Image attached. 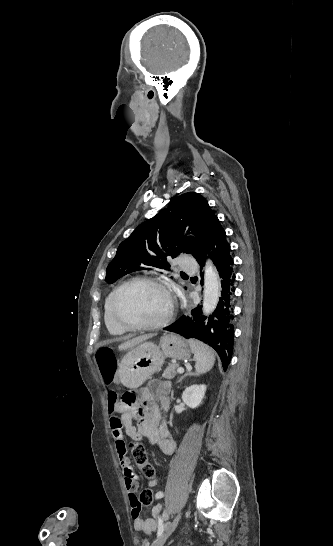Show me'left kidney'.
<instances>
[{
	"label": "left kidney",
	"mask_w": 333,
	"mask_h": 546,
	"mask_svg": "<svg viewBox=\"0 0 333 546\" xmlns=\"http://www.w3.org/2000/svg\"><path fill=\"white\" fill-rule=\"evenodd\" d=\"M205 391V385H192L184 390L182 400L188 407L196 408L202 403Z\"/></svg>",
	"instance_id": "5707ae66"
}]
</instances>
